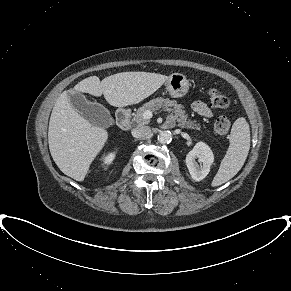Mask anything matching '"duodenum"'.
I'll return each mask as SVG.
<instances>
[{
    "label": "duodenum",
    "instance_id": "1",
    "mask_svg": "<svg viewBox=\"0 0 291 291\" xmlns=\"http://www.w3.org/2000/svg\"><path fill=\"white\" fill-rule=\"evenodd\" d=\"M117 122L121 129L128 130L131 126L129 111L127 109H120L117 112Z\"/></svg>",
    "mask_w": 291,
    "mask_h": 291
}]
</instances>
